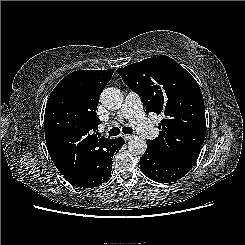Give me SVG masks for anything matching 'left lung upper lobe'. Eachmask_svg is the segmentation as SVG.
<instances>
[{"instance_id": "left-lung-upper-lobe-1", "label": "left lung upper lobe", "mask_w": 245, "mask_h": 245, "mask_svg": "<svg viewBox=\"0 0 245 245\" xmlns=\"http://www.w3.org/2000/svg\"><path fill=\"white\" fill-rule=\"evenodd\" d=\"M147 112L163 114L159 136L148 140L160 153L198 159L206 132L202 92L191 74L168 56H157L118 68Z\"/></svg>"}]
</instances>
